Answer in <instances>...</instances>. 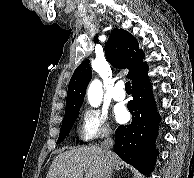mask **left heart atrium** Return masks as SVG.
I'll list each match as a JSON object with an SVG mask.
<instances>
[{
	"instance_id": "1",
	"label": "left heart atrium",
	"mask_w": 194,
	"mask_h": 178,
	"mask_svg": "<svg viewBox=\"0 0 194 178\" xmlns=\"http://www.w3.org/2000/svg\"><path fill=\"white\" fill-rule=\"evenodd\" d=\"M115 118L118 122L123 123L128 119V112L124 108L115 110Z\"/></svg>"
}]
</instances>
